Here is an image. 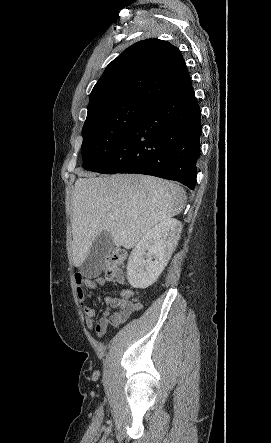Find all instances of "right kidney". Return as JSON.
<instances>
[{"instance_id": "right-kidney-1", "label": "right kidney", "mask_w": 271, "mask_h": 443, "mask_svg": "<svg viewBox=\"0 0 271 443\" xmlns=\"http://www.w3.org/2000/svg\"><path fill=\"white\" fill-rule=\"evenodd\" d=\"M182 225L175 218H166L149 229L136 243L127 263V279L132 287H149L166 267Z\"/></svg>"}]
</instances>
